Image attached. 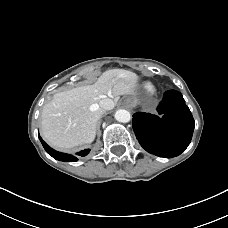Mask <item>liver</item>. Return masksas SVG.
Segmentation results:
<instances>
[{"label": "liver", "instance_id": "6515ba94", "mask_svg": "<svg viewBox=\"0 0 228 228\" xmlns=\"http://www.w3.org/2000/svg\"><path fill=\"white\" fill-rule=\"evenodd\" d=\"M137 75L123 69L105 71L92 85L56 93L42 110L41 132L54 148L70 150L91 143L98 120L104 113L99 102L112 100L116 105L120 95L134 94Z\"/></svg>", "mask_w": 228, "mask_h": 228}]
</instances>
